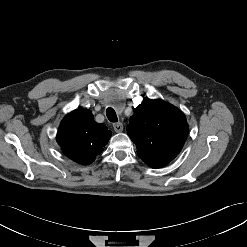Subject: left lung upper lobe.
Instances as JSON below:
<instances>
[{"label":"left lung upper lobe","instance_id":"obj_1","mask_svg":"<svg viewBox=\"0 0 247 247\" xmlns=\"http://www.w3.org/2000/svg\"><path fill=\"white\" fill-rule=\"evenodd\" d=\"M127 134L138 156L149 166L160 168L181 151L188 135L182 111L162 100L144 99L130 117Z\"/></svg>","mask_w":247,"mask_h":247}]
</instances>
